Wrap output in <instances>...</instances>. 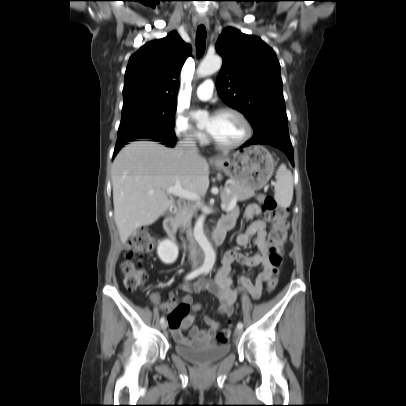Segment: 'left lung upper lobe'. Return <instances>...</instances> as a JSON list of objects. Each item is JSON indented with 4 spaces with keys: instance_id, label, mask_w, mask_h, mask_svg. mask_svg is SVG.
<instances>
[{
    "instance_id": "1",
    "label": "left lung upper lobe",
    "mask_w": 406,
    "mask_h": 406,
    "mask_svg": "<svg viewBox=\"0 0 406 406\" xmlns=\"http://www.w3.org/2000/svg\"><path fill=\"white\" fill-rule=\"evenodd\" d=\"M223 66L216 85L221 99L242 112L254 137L289 138L288 118L276 54L259 37L228 27L218 38Z\"/></svg>"
}]
</instances>
